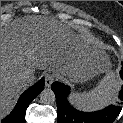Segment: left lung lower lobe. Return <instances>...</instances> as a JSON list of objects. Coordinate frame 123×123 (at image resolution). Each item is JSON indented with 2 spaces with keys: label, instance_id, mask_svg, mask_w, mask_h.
I'll list each match as a JSON object with an SVG mask.
<instances>
[{
  "label": "left lung lower lobe",
  "instance_id": "obj_1",
  "mask_svg": "<svg viewBox=\"0 0 123 123\" xmlns=\"http://www.w3.org/2000/svg\"><path fill=\"white\" fill-rule=\"evenodd\" d=\"M123 65V62H122ZM123 80V66L120 71ZM51 89L55 93L58 108V123H113L122 110L123 102L110 105L103 110L96 112H82L76 110L67 100L70 93V87L61 83L54 82ZM120 99L123 101V86L119 93Z\"/></svg>",
  "mask_w": 123,
  "mask_h": 123
}]
</instances>
